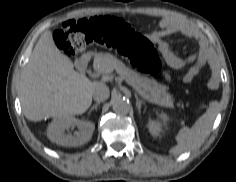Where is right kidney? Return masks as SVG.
Instances as JSON below:
<instances>
[{
	"mask_svg": "<svg viewBox=\"0 0 236 182\" xmlns=\"http://www.w3.org/2000/svg\"><path fill=\"white\" fill-rule=\"evenodd\" d=\"M77 127L79 130L73 135L65 133L70 128ZM95 125L92 122L76 119L73 116H67L54 119L47 130V136L50 141L67 147H77L88 142L94 132Z\"/></svg>",
	"mask_w": 236,
	"mask_h": 182,
	"instance_id": "right-kidney-1",
	"label": "right kidney"
}]
</instances>
